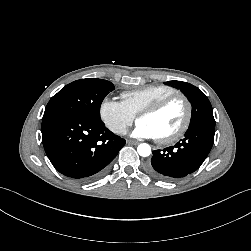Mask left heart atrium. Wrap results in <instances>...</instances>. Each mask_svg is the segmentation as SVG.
Returning <instances> with one entry per match:
<instances>
[{"label":"left heart atrium","instance_id":"1","mask_svg":"<svg viewBox=\"0 0 251 251\" xmlns=\"http://www.w3.org/2000/svg\"><path fill=\"white\" fill-rule=\"evenodd\" d=\"M132 136L139 139H155L157 138L154 130L147 124L138 122L134 130L132 131Z\"/></svg>","mask_w":251,"mask_h":251}]
</instances>
